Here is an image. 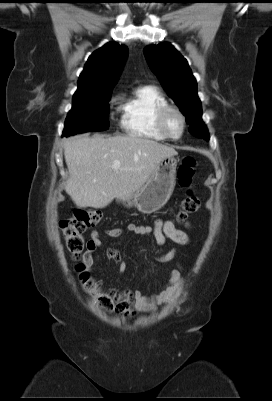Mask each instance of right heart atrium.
<instances>
[{"label": "right heart atrium", "instance_id": "obj_1", "mask_svg": "<svg viewBox=\"0 0 272 401\" xmlns=\"http://www.w3.org/2000/svg\"><path fill=\"white\" fill-rule=\"evenodd\" d=\"M118 98H119L118 95L112 96L110 99V103L112 104V103L116 102L118 100Z\"/></svg>", "mask_w": 272, "mask_h": 401}]
</instances>
